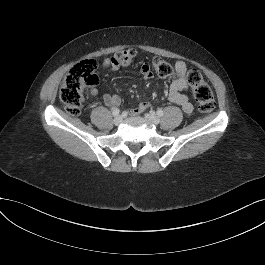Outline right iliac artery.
<instances>
[{
  "label": "right iliac artery",
  "instance_id": "obj_1",
  "mask_svg": "<svg viewBox=\"0 0 265 265\" xmlns=\"http://www.w3.org/2000/svg\"><path fill=\"white\" fill-rule=\"evenodd\" d=\"M120 110L118 108H114L112 111V115L113 116H118L119 115Z\"/></svg>",
  "mask_w": 265,
  "mask_h": 265
}]
</instances>
